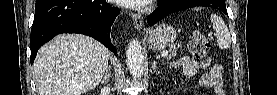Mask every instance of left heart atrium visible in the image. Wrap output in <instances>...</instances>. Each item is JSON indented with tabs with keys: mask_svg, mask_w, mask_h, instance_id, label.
Wrapping results in <instances>:
<instances>
[{
	"mask_svg": "<svg viewBox=\"0 0 277 95\" xmlns=\"http://www.w3.org/2000/svg\"><path fill=\"white\" fill-rule=\"evenodd\" d=\"M151 0H119L122 6L129 7L132 9H140L145 5L149 4Z\"/></svg>",
	"mask_w": 277,
	"mask_h": 95,
	"instance_id": "39dd6f15",
	"label": "left heart atrium"
}]
</instances>
